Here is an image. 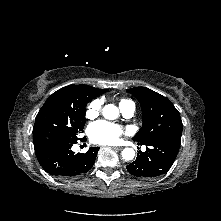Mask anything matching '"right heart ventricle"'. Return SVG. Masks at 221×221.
Segmentation results:
<instances>
[{
  "mask_svg": "<svg viewBox=\"0 0 221 221\" xmlns=\"http://www.w3.org/2000/svg\"><path fill=\"white\" fill-rule=\"evenodd\" d=\"M130 103H131L130 100L121 99V100L119 101V106H120V108H122V107H124V106H126V105H128V104H130Z\"/></svg>",
  "mask_w": 221,
  "mask_h": 221,
  "instance_id": "right-heart-ventricle-1",
  "label": "right heart ventricle"
}]
</instances>
